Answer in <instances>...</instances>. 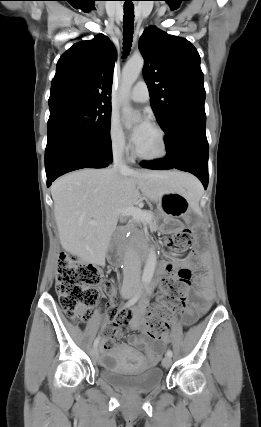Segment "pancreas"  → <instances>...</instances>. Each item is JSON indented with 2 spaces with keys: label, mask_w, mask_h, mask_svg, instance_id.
Returning <instances> with one entry per match:
<instances>
[{
  "label": "pancreas",
  "mask_w": 261,
  "mask_h": 427,
  "mask_svg": "<svg viewBox=\"0 0 261 427\" xmlns=\"http://www.w3.org/2000/svg\"><path fill=\"white\" fill-rule=\"evenodd\" d=\"M147 213L149 214L150 219L148 221H146V222L149 225L150 229L152 231H154V230L157 229V225H156V222H155V216H154L153 212H151V211H147Z\"/></svg>",
  "instance_id": "obj_1"
}]
</instances>
